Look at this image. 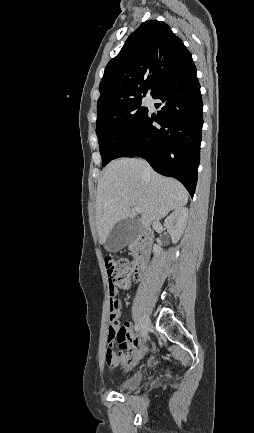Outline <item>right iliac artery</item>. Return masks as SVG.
<instances>
[{
    "instance_id": "1",
    "label": "right iliac artery",
    "mask_w": 254,
    "mask_h": 433,
    "mask_svg": "<svg viewBox=\"0 0 254 433\" xmlns=\"http://www.w3.org/2000/svg\"><path fill=\"white\" fill-rule=\"evenodd\" d=\"M135 330H136V331H139V330H140V326H139V324H136V325H135Z\"/></svg>"
}]
</instances>
